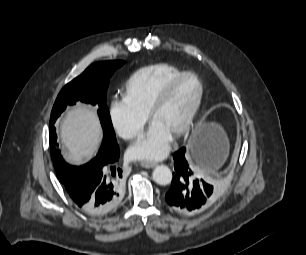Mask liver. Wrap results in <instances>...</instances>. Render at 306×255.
Listing matches in <instances>:
<instances>
[{"label": "liver", "mask_w": 306, "mask_h": 255, "mask_svg": "<svg viewBox=\"0 0 306 255\" xmlns=\"http://www.w3.org/2000/svg\"><path fill=\"white\" fill-rule=\"evenodd\" d=\"M61 139L66 147L65 158L80 165L98 151L102 130L96 113L85 106L68 111L61 125Z\"/></svg>", "instance_id": "liver-1"}]
</instances>
